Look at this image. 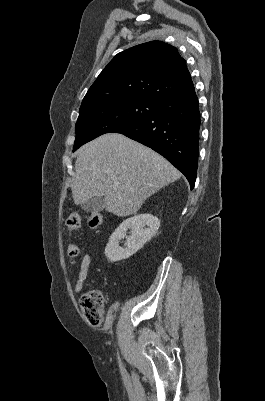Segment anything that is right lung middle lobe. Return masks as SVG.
<instances>
[{"label":"right lung middle lobe","instance_id":"obj_1","mask_svg":"<svg viewBox=\"0 0 265 401\" xmlns=\"http://www.w3.org/2000/svg\"><path fill=\"white\" fill-rule=\"evenodd\" d=\"M159 102L147 99H108L80 107L73 151L96 137L114 132L154 113Z\"/></svg>","mask_w":265,"mask_h":401}]
</instances>
